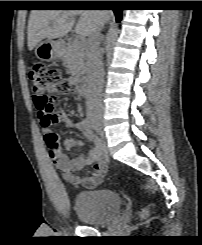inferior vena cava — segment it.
Returning a JSON list of instances; mask_svg holds the SVG:
<instances>
[{"label":"inferior vena cava","mask_w":202,"mask_h":245,"mask_svg":"<svg viewBox=\"0 0 202 245\" xmlns=\"http://www.w3.org/2000/svg\"><path fill=\"white\" fill-rule=\"evenodd\" d=\"M103 25L101 24L90 34L86 48L88 78L86 108L89 115L101 114L103 110L101 93L104 82V69L100 50V32Z\"/></svg>","instance_id":"inferior-vena-cava-1"}]
</instances>
